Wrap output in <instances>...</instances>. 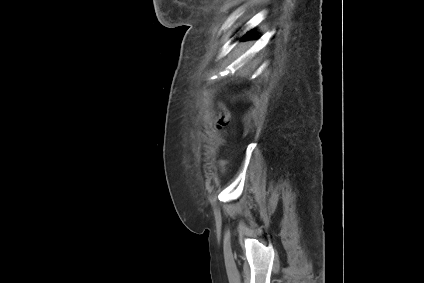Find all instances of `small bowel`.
<instances>
[{
	"label": "small bowel",
	"mask_w": 424,
	"mask_h": 283,
	"mask_svg": "<svg viewBox=\"0 0 424 283\" xmlns=\"http://www.w3.org/2000/svg\"><path fill=\"white\" fill-rule=\"evenodd\" d=\"M225 164H226V162L224 160H222V161L219 162V165H220V167H221L222 170L225 169Z\"/></svg>",
	"instance_id": "c3829d8e"
}]
</instances>
